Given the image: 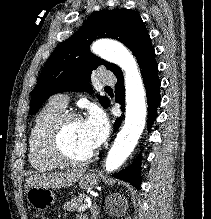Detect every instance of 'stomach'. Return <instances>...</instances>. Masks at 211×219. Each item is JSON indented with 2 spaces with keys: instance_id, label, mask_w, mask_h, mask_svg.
I'll return each mask as SVG.
<instances>
[{
  "instance_id": "stomach-1",
  "label": "stomach",
  "mask_w": 211,
  "mask_h": 219,
  "mask_svg": "<svg viewBox=\"0 0 211 219\" xmlns=\"http://www.w3.org/2000/svg\"><path fill=\"white\" fill-rule=\"evenodd\" d=\"M99 175L95 173L83 174L79 179V186L82 189L90 188L98 184ZM28 203L36 209H46L55 203L54 193L42 187H30L26 192Z\"/></svg>"
}]
</instances>
